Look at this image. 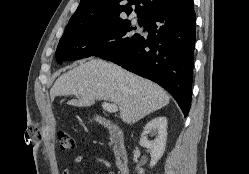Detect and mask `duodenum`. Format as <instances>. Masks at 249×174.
<instances>
[{
    "label": "duodenum",
    "mask_w": 249,
    "mask_h": 174,
    "mask_svg": "<svg viewBox=\"0 0 249 174\" xmlns=\"http://www.w3.org/2000/svg\"><path fill=\"white\" fill-rule=\"evenodd\" d=\"M98 121L109 131V140L119 173L130 174L128 153L124 144V136L122 130L119 126H117L110 120L98 118Z\"/></svg>",
    "instance_id": "410a0bca"
}]
</instances>
